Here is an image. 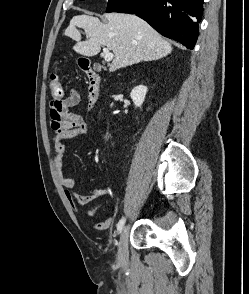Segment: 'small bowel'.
<instances>
[{"label": "small bowel", "mask_w": 249, "mask_h": 294, "mask_svg": "<svg viewBox=\"0 0 249 294\" xmlns=\"http://www.w3.org/2000/svg\"><path fill=\"white\" fill-rule=\"evenodd\" d=\"M81 100L80 92L76 88H71L67 96L60 101H51L50 120L54 129V167L64 190V194L72 209L77 211L80 206L86 205L95 198L108 194L110 186L106 185L98 188H87L85 194H78L74 191L77 180L65 175L63 168V156L65 151V141L88 134L89 127L79 114L70 111V108L78 105ZM112 200H105L84 212L86 218L94 217L101 209L112 204ZM113 223L112 217L103 221L95 222L92 227L96 230H106Z\"/></svg>", "instance_id": "small-bowel-1"}]
</instances>
